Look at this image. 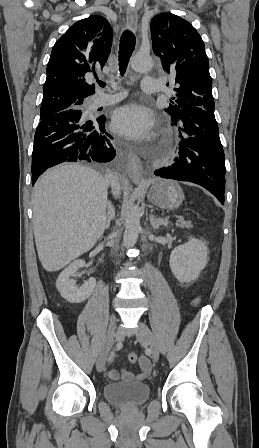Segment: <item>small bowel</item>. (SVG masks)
I'll return each instance as SVG.
<instances>
[{
  "instance_id": "small-bowel-1",
  "label": "small bowel",
  "mask_w": 259,
  "mask_h": 448,
  "mask_svg": "<svg viewBox=\"0 0 259 448\" xmlns=\"http://www.w3.org/2000/svg\"><path fill=\"white\" fill-rule=\"evenodd\" d=\"M139 367L140 372L138 374H133L130 371H122L119 373L117 370H109L107 372V376L112 380H118L120 377L124 381L133 382V381H142L145 380L151 373V362L146 356H142L139 359Z\"/></svg>"
}]
</instances>
